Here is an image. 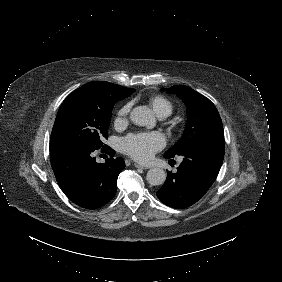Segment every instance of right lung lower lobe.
<instances>
[{
    "label": "right lung lower lobe",
    "instance_id": "right-lung-lower-lobe-1",
    "mask_svg": "<svg viewBox=\"0 0 282 282\" xmlns=\"http://www.w3.org/2000/svg\"><path fill=\"white\" fill-rule=\"evenodd\" d=\"M95 150L73 147L50 154L60 188L71 201L86 209L102 207L114 197L118 175L125 167L121 158L97 163ZM101 150L110 156L115 154L110 147Z\"/></svg>",
    "mask_w": 282,
    "mask_h": 282
}]
</instances>
